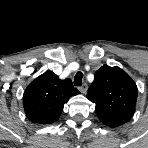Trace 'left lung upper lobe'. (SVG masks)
Wrapping results in <instances>:
<instances>
[{"label": "left lung upper lobe", "instance_id": "obj_1", "mask_svg": "<svg viewBox=\"0 0 148 148\" xmlns=\"http://www.w3.org/2000/svg\"><path fill=\"white\" fill-rule=\"evenodd\" d=\"M137 86L119 67L103 65L87 92V98L96 104L98 118L109 127H118L129 121L137 101Z\"/></svg>", "mask_w": 148, "mask_h": 148}]
</instances>
